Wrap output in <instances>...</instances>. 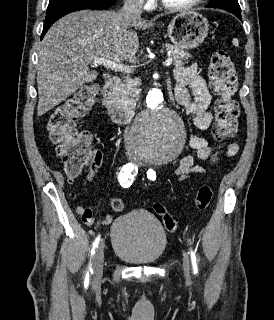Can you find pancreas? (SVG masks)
Segmentation results:
<instances>
[{
    "instance_id": "obj_1",
    "label": "pancreas",
    "mask_w": 274,
    "mask_h": 320,
    "mask_svg": "<svg viewBox=\"0 0 274 320\" xmlns=\"http://www.w3.org/2000/svg\"><path fill=\"white\" fill-rule=\"evenodd\" d=\"M166 50L171 52L173 58V66H183L187 64L186 60L191 58L188 52H184L182 48H176V46H170V44H165ZM124 84L118 86V88H113L114 96L117 98V102H120L121 106H126V108H135L136 102L140 98V92L138 86L141 84L139 78H124Z\"/></svg>"
}]
</instances>
